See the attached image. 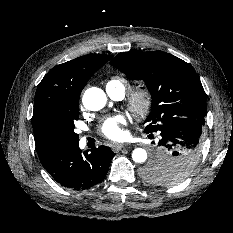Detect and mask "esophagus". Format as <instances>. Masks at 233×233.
Wrapping results in <instances>:
<instances>
[{
	"instance_id": "34e87169",
	"label": "esophagus",
	"mask_w": 233,
	"mask_h": 233,
	"mask_svg": "<svg viewBox=\"0 0 233 233\" xmlns=\"http://www.w3.org/2000/svg\"><path fill=\"white\" fill-rule=\"evenodd\" d=\"M123 147H124L123 144H121V143H115V144L112 145V150H113L114 152H118V151H120Z\"/></svg>"
}]
</instances>
